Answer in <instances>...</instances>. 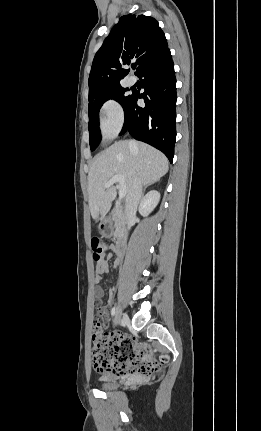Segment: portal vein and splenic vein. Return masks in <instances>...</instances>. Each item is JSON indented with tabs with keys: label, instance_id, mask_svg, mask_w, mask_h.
<instances>
[{
	"label": "portal vein and splenic vein",
	"instance_id": "18ae733b",
	"mask_svg": "<svg viewBox=\"0 0 261 431\" xmlns=\"http://www.w3.org/2000/svg\"><path fill=\"white\" fill-rule=\"evenodd\" d=\"M115 183H119V198L122 199L123 197L126 196L127 193V189H126V185H125V181H124V177L121 175H115L113 176L105 185V188H109L110 186H112Z\"/></svg>",
	"mask_w": 261,
	"mask_h": 431
}]
</instances>
